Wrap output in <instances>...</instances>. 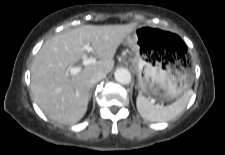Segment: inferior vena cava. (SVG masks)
<instances>
[{"instance_id": "inferior-vena-cava-1", "label": "inferior vena cava", "mask_w": 225, "mask_h": 155, "mask_svg": "<svg viewBox=\"0 0 225 155\" xmlns=\"http://www.w3.org/2000/svg\"><path fill=\"white\" fill-rule=\"evenodd\" d=\"M106 74L103 71L95 72L91 77V83L94 85L105 78Z\"/></svg>"}]
</instances>
